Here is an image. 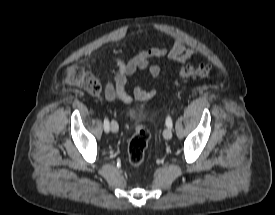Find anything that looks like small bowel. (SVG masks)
Wrapping results in <instances>:
<instances>
[{
	"label": "small bowel",
	"mask_w": 275,
	"mask_h": 215,
	"mask_svg": "<svg viewBox=\"0 0 275 215\" xmlns=\"http://www.w3.org/2000/svg\"><path fill=\"white\" fill-rule=\"evenodd\" d=\"M195 54V50L186 48L180 40H175L169 51L161 47H153L140 51L129 60H125L121 56L117 57L116 74L113 80L106 84L105 99L109 102L120 99L124 103L130 104L133 97L127 92L126 87L129 85V78L133 76L137 70H143L151 77H157L161 72V67L158 63L153 62V60L168 57L169 60L180 66L178 74L182 76L185 70V63ZM154 95L155 90H148L141 86H137L133 90L134 98L139 101L149 100Z\"/></svg>",
	"instance_id": "obj_1"
}]
</instances>
